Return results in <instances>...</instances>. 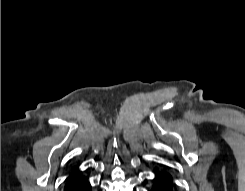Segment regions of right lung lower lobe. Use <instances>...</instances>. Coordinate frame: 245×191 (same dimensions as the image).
Returning <instances> with one entry per match:
<instances>
[{
  "mask_svg": "<svg viewBox=\"0 0 245 191\" xmlns=\"http://www.w3.org/2000/svg\"><path fill=\"white\" fill-rule=\"evenodd\" d=\"M64 191H91V186L80 171L74 170L67 178Z\"/></svg>",
  "mask_w": 245,
  "mask_h": 191,
  "instance_id": "98d812e1",
  "label": "right lung lower lobe"
}]
</instances>
